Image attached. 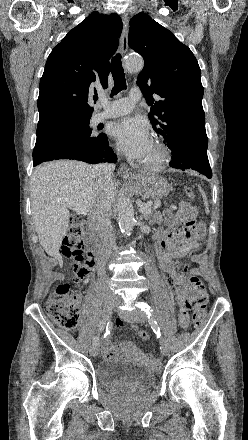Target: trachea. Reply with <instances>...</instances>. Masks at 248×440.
I'll use <instances>...</instances> for the list:
<instances>
[{
    "instance_id": "trachea-1",
    "label": "trachea",
    "mask_w": 248,
    "mask_h": 440,
    "mask_svg": "<svg viewBox=\"0 0 248 440\" xmlns=\"http://www.w3.org/2000/svg\"><path fill=\"white\" fill-rule=\"evenodd\" d=\"M111 73L114 79V87L111 91V96L126 89L125 73L122 67L121 55L116 54L111 60Z\"/></svg>"
}]
</instances>
